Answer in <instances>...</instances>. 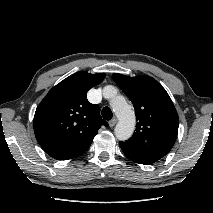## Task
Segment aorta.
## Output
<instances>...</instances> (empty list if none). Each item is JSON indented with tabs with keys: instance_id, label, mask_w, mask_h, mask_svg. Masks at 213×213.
I'll return each instance as SVG.
<instances>
[{
	"instance_id": "762f6f07",
	"label": "aorta",
	"mask_w": 213,
	"mask_h": 213,
	"mask_svg": "<svg viewBox=\"0 0 213 213\" xmlns=\"http://www.w3.org/2000/svg\"><path fill=\"white\" fill-rule=\"evenodd\" d=\"M103 92L104 95L107 96L114 93L115 88L107 86L104 88ZM110 105L119 120L114 129L116 138L121 141L128 140L135 129L136 119L134 111L123 96L112 97Z\"/></svg>"
}]
</instances>
